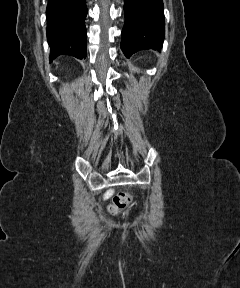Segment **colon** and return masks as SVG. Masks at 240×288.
Masks as SVG:
<instances>
[{
  "label": "colon",
  "instance_id": "colon-1",
  "mask_svg": "<svg viewBox=\"0 0 240 288\" xmlns=\"http://www.w3.org/2000/svg\"><path fill=\"white\" fill-rule=\"evenodd\" d=\"M132 194L130 192H121L113 198V202L110 206V211L113 213L119 212L126 208L132 201Z\"/></svg>",
  "mask_w": 240,
  "mask_h": 288
}]
</instances>
